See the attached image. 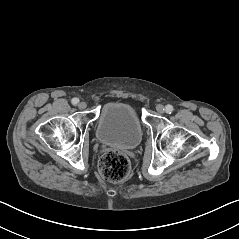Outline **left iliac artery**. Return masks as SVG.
I'll list each match as a JSON object with an SVG mask.
<instances>
[{
	"label": "left iliac artery",
	"instance_id": "obj_1",
	"mask_svg": "<svg viewBox=\"0 0 239 239\" xmlns=\"http://www.w3.org/2000/svg\"><path fill=\"white\" fill-rule=\"evenodd\" d=\"M165 111H166V113L171 114L173 112V106L169 105V104L166 105Z\"/></svg>",
	"mask_w": 239,
	"mask_h": 239
}]
</instances>
